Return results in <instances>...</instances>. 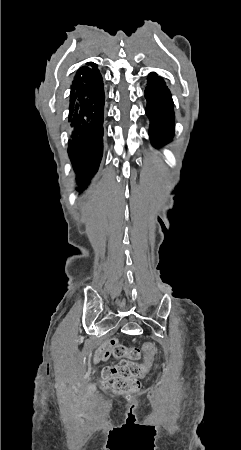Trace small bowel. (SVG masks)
I'll return each instance as SVG.
<instances>
[{
	"instance_id": "1",
	"label": "small bowel",
	"mask_w": 241,
	"mask_h": 450,
	"mask_svg": "<svg viewBox=\"0 0 241 450\" xmlns=\"http://www.w3.org/2000/svg\"><path fill=\"white\" fill-rule=\"evenodd\" d=\"M115 341L117 342L116 339H111L109 341L108 344L103 345L97 352L95 355V361H100V360H107L109 355H110V351H109V347L112 344V342Z\"/></svg>"
}]
</instances>
